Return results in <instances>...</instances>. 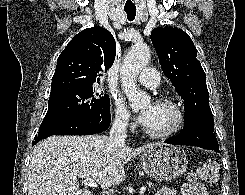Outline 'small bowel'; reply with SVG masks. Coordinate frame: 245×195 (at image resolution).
I'll return each instance as SVG.
<instances>
[{
  "mask_svg": "<svg viewBox=\"0 0 245 195\" xmlns=\"http://www.w3.org/2000/svg\"><path fill=\"white\" fill-rule=\"evenodd\" d=\"M200 192H201V195H208L206 189L204 186L201 185L200 187ZM156 195H176V191L172 188H169V187H164V188H161Z\"/></svg>",
  "mask_w": 245,
  "mask_h": 195,
  "instance_id": "1",
  "label": "small bowel"
}]
</instances>
